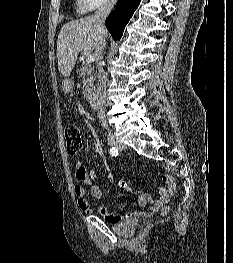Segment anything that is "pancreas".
Listing matches in <instances>:
<instances>
[{"mask_svg": "<svg viewBox=\"0 0 233 263\" xmlns=\"http://www.w3.org/2000/svg\"><path fill=\"white\" fill-rule=\"evenodd\" d=\"M80 75L83 84L82 94L86 99L90 100L93 98L95 92L94 82L96 73L94 67L83 61L80 68Z\"/></svg>", "mask_w": 233, "mask_h": 263, "instance_id": "1", "label": "pancreas"}]
</instances>
